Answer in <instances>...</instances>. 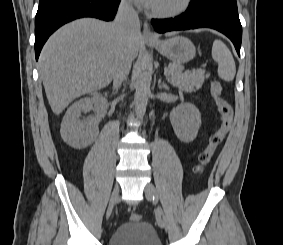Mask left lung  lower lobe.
Masks as SVG:
<instances>
[{
	"label": "left lung lower lobe",
	"instance_id": "obj_1",
	"mask_svg": "<svg viewBox=\"0 0 283 245\" xmlns=\"http://www.w3.org/2000/svg\"><path fill=\"white\" fill-rule=\"evenodd\" d=\"M151 23L159 33L201 27L218 30L230 38L240 56L242 26L238 14L219 10H190L188 8L178 17L155 19Z\"/></svg>",
	"mask_w": 283,
	"mask_h": 245
}]
</instances>
